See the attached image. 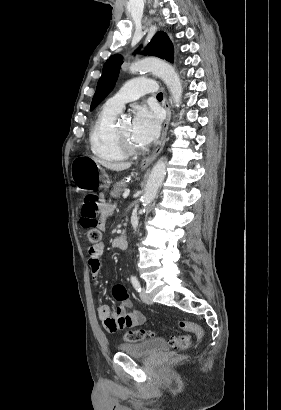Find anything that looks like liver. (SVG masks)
I'll return each mask as SVG.
<instances>
[{
  "mask_svg": "<svg viewBox=\"0 0 281 410\" xmlns=\"http://www.w3.org/2000/svg\"><path fill=\"white\" fill-rule=\"evenodd\" d=\"M97 163L112 171H123L131 167L129 162H109L94 158Z\"/></svg>",
  "mask_w": 281,
  "mask_h": 410,
  "instance_id": "6515ba94",
  "label": "liver"
}]
</instances>
